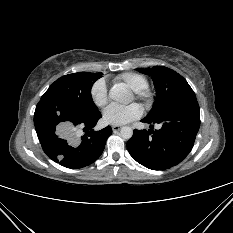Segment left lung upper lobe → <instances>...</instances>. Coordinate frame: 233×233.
Wrapping results in <instances>:
<instances>
[{
	"instance_id": "5c2ea615",
	"label": "left lung upper lobe",
	"mask_w": 233,
	"mask_h": 233,
	"mask_svg": "<svg viewBox=\"0 0 233 233\" xmlns=\"http://www.w3.org/2000/svg\"><path fill=\"white\" fill-rule=\"evenodd\" d=\"M151 75L157 91L153 108L145 117L155 121L163 117L186 93L193 91L187 81L177 72L164 66L138 69Z\"/></svg>"
}]
</instances>
